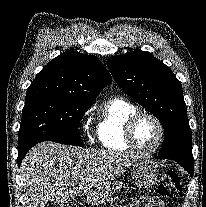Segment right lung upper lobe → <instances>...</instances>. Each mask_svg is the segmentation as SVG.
<instances>
[{"label": "right lung upper lobe", "instance_id": "obj_1", "mask_svg": "<svg viewBox=\"0 0 206 207\" xmlns=\"http://www.w3.org/2000/svg\"><path fill=\"white\" fill-rule=\"evenodd\" d=\"M111 82L109 72L97 57L68 50L37 74L27 90L25 102L57 98L92 105Z\"/></svg>", "mask_w": 206, "mask_h": 207}]
</instances>
